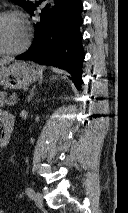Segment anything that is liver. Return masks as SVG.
<instances>
[{
  "mask_svg": "<svg viewBox=\"0 0 128 213\" xmlns=\"http://www.w3.org/2000/svg\"><path fill=\"white\" fill-rule=\"evenodd\" d=\"M9 63V60H0V66Z\"/></svg>",
  "mask_w": 128,
  "mask_h": 213,
  "instance_id": "6515ba94",
  "label": "liver"
}]
</instances>
